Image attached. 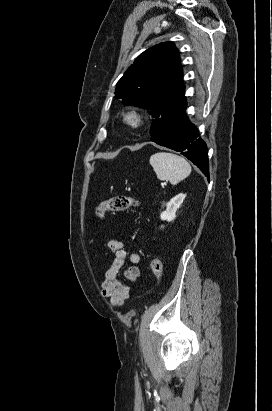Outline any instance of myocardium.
Segmentation results:
<instances>
[{"instance_id":"myocardium-1","label":"myocardium","mask_w":272,"mask_h":411,"mask_svg":"<svg viewBox=\"0 0 272 411\" xmlns=\"http://www.w3.org/2000/svg\"><path fill=\"white\" fill-rule=\"evenodd\" d=\"M123 122L129 128L138 129L145 123V115L138 110H130L123 116Z\"/></svg>"}]
</instances>
